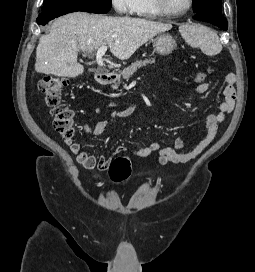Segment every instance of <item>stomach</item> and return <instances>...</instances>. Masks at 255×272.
<instances>
[{"instance_id":"1","label":"stomach","mask_w":255,"mask_h":272,"mask_svg":"<svg viewBox=\"0 0 255 272\" xmlns=\"http://www.w3.org/2000/svg\"><path fill=\"white\" fill-rule=\"evenodd\" d=\"M176 47V40L168 33H161L153 40L154 51L159 55H169Z\"/></svg>"}]
</instances>
